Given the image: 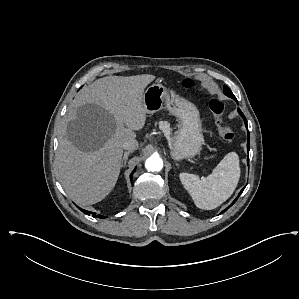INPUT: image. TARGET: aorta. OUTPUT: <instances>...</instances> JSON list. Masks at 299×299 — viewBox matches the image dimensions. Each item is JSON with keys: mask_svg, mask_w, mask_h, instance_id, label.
Returning a JSON list of instances; mask_svg holds the SVG:
<instances>
[{"mask_svg": "<svg viewBox=\"0 0 299 299\" xmlns=\"http://www.w3.org/2000/svg\"><path fill=\"white\" fill-rule=\"evenodd\" d=\"M145 168L148 171L158 172L163 168V160L159 156L152 155L146 160Z\"/></svg>", "mask_w": 299, "mask_h": 299, "instance_id": "aorta-1", "label": "aorta"}]
</instances>
